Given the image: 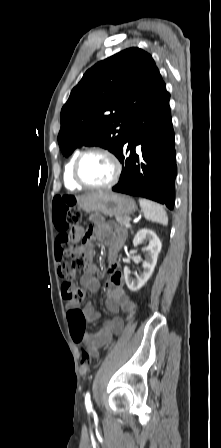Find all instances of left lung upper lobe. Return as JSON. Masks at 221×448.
I'll return each mask as SVG.
<instances>
[{
	"label": "left lung upper lobe",
	"mask_w": 221,
	"mask_h": 448,
	"mask_svg": "<svg viewBox=\"0 0 221 448\" xmlns=\"http://www.w3.org/2000/svg\"><path fill=\"white\" fill-rule=\"evenodd\" d=\"M165 88L153 58L142 49L128 48L98 62L61 110L58 142L63 155L86 145L118 156L131 123Z\"/></svg>",
	"instance_id": "obj_1"
}]
</instances>
